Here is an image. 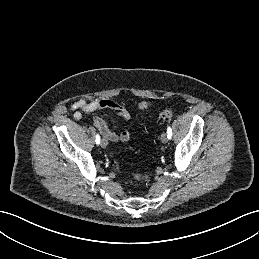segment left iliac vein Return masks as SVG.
Masks as SVG:
<instances>
[{"mask_svg":"<svg viewBox=\"0 0 259 259\" xmlns=\"http://www.w3.org/2000/svg\"><path fill=\"white\" fill-rule=\"evenodd\" d=\"M160 139H161V141H162L163 143H166V142L168 141L167 133L163 132V133L161 134Z\"/></svg>","mask_w":259,"mask_h":259,"instance_id":"4c4485c4","label":"left iliac vein"}]
</instances>
